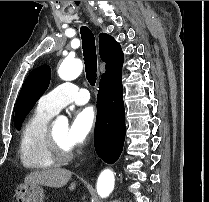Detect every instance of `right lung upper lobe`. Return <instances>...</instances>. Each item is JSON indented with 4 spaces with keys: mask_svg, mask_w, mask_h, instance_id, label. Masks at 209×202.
Returning <instances> with one entry per match:
<instances>
[{
    "mask_svg": "<svg viewBox=\"0 0 209 202\" xmlns=\"http://www.w3.org/2000/svg\"><path fill=\"white\" fill-rule=\"evenodd\" d=\"M99 52L102 61L106 62V72L102 74L100 84L121 83V70L124 54L120 44L108 34L99 35Z\"/></svg>",
    "mask_w": 209,
    "mask_h": 202,
    "instance_id": "cb5924a9",
    "label": "right lung upper lobe"
}]
</instances>
